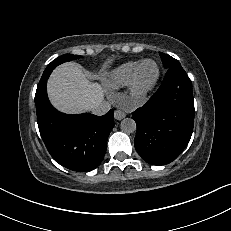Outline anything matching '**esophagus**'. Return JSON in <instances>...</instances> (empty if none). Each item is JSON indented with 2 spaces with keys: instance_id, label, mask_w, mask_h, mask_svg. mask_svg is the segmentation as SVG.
<instances>
[{
  "instance_id": "esophagus-1",
  "label": "esophagus",
  "mask_w": 231,
  "mask_h": 231,
  "mask_svg": "<svg viewBox=\"0 0 231 231\" xmlns=\"http://www.w3.org/2000/svg\"><path fill=\"white\" fill-rule=\"evenodd\" d=\"M126 116V113L120 109L114 112V117L116 120H121Z\"/></svg>"
}]
</instances>
